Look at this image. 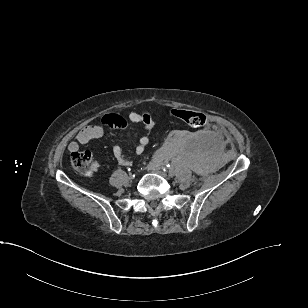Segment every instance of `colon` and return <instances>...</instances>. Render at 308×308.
<instances>
[{"mask_svg":"<svg viewBox=\"0 0 308 308\" xmlns=\"http://www.w3.org/2000/svg\"><path fill=\"white\" fill-rule=\"evenodd\" d=\"M171 114L186 123L190 127L198 128L206 124V116L200 112L173 109ZM71 165L73 169L84 175L92 173V156L88 151H73L71 153Z\"/></svg>","mask_w":308,"mask_h":308,"instance_id":"colon-1","label":"colon"}]
</instances>
